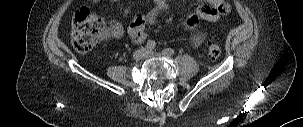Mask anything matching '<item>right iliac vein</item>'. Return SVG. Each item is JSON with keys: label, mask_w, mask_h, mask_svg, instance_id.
I'll list each match as a JSON object with an SVG mask.
<instances>
[{"label": "right iliac vein", "mask_w": 303, "mask_h": 127, "mask_svg": "<svg viewBox=\"0 0 303 127\" xmlns=\"http://www.w3.org/2000/svg\"><path fill=\"white\" fill-rule=\"evenodd\" d=\"M148 51L146 49H141L136 52V57L137 58H145L147 56Z\"/></svg>", "instance_id": "63e3f726"}]
</instances>
